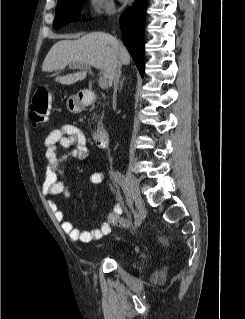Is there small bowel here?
Returning a JSON list of instances; mask_svg holds the SVG:
<instances>
[{
    "mask_svg": "<svg viewBox=\"0 0 245 319\" xmlns=\"http://www.w3.org/2000/svg\"><path fill=\"white\" fill-rule=\"evenodd\" d=\"M46 161L45 177L42 183V193L46 197L62 195L65 198L70 197L69 186L63 179V162L68 158L85 160L89 155V147L85 134L77 127L64 124L53 129L45 138ZM60 149L68 151L59 154ZM104 174L99 172L91 173L88 176V183L98 185L104 181ZM55 219L60 223L62 231L72 240L82 243H89L94 240H100L111 232L109 222L102 223L99 227L90 231H81L76 228L71 221L65 219L62 210L53 200L48 202ZM122 213V204L117 203L112 210V217Z\"/></svg>",
    "mask_w": 245,
    "mask_h": 319,
    "instance_id": "small-bowel-1",
    "label": "small bowel"
}]
</instances>
